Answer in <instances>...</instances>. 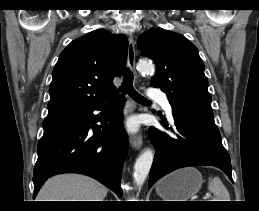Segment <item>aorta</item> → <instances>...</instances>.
Listing matches in <instances>:
<instances>
[{
	"instance_id": "aorta-1",
	"label": "aorta",
	"mask_w": 259,
	"mask_h": 211,
	"mask_svg": "<svg viewBox=\"0 0 259 211\" xmlns=\"http://www.w3.org/2000/svg\"><path fill=\"white\" fill-rule=\"evenodd\" d=\"M138 70L142 73H151L154 71V65L148 61H140L138 63ZM154 159V153L151 149L147 148L142 151L135 162L134 166V182L137 186L141 187L145 182Z\"/></svg>"
}]
</instances>
